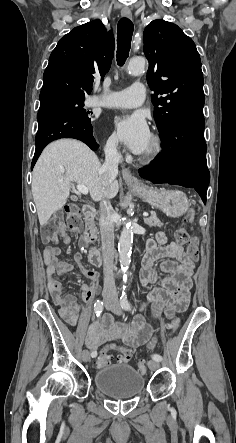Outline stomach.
<instances>
[{
  "label": "stomach",
  "mask_w": 236,
  "mask_h": 443,
  "mask_svg": "<svg viewBox=\"0 0 236 443\" xmlns=\"http://www.w3.org/2000/svg\"><path fill=\"white\" fill-rule=\"evenodd\" d=\"M132 191L152 207L161 210L169 217H180L189 208L187 196L179 190L143 186L141 188H132Z\"/></svg>",
  "instance_id": "obj_1"
}]
</instances>
